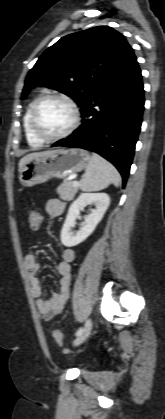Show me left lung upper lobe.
Here are the masks:
<instances>
[{
  "mask_svg": "<svg viewBox=\"0 0 165 419\" xmlns=\"http://www.w3.org/2000/svg\"><path fill=\"white\" fill-rule=\"evenodd\" d=\"M133 55L125 37L108 26L67 35L39 57L26 77L21 99L36 86L48 87L70 96L82 109Z\"/></svg>",
  "mask_w": 165,
  "mask_h": 419,
  "instance_id": "left-lung-upper-lobe-1",
  "label": "left lung upper lobe"
}]
</instances>
